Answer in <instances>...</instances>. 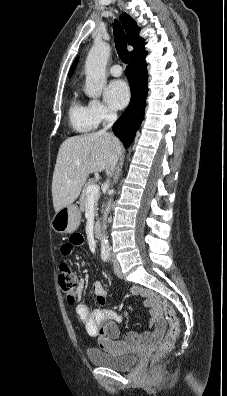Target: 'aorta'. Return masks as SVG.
I'll use <instances>...</instances> for the list:
<instances>
[{"label":"aorta","instance_id":"762f6f07","mask_svg":"<svg viewBox=\"0 0 227 396\" xmlns=\"http://www.w3.org/2000/svg\"><path fill=\"white\" fill-rule=\"evenodd\" d=\"M110 55V46L102 41H95L90 49L85 63V93L91 98L100 97L106 84V64ZM114 193V190L111 191ZM112 206L111 199L108 201L102 223L101 250L109 251V243L105 234L107 217Z\"/></svg>","mask_w":227,"mask_h":396}]
</instances>
